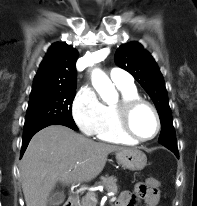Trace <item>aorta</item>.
<instances>
[{
  "label": "aorta",
  "instance_id": "aorta-1",
  "mask_svg": "<svg viewBox=\"0 0 197 206\" xmlns=\"http://www.w3.org/2000/svg\"><path fill=\"white\" fill-rule=\"evenodd\" d=\"M92 85L105 102L111 103L115 99V88L111 80L101 70L95 69L92 72Z\"/></svg>",
  "mask_w": 197,
  "mask_h": 206
}]
</instances>
